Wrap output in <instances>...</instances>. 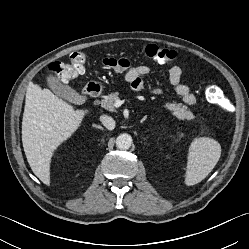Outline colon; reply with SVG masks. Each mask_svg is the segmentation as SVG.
Returning a JSON list of instances; mask_svg holds the SVG:
<instances>
[{
    "mask_svg": "<svg viewBox=\"0 0 249 249\" xmlns=\"http://www.w3.org/2000/svg\"><path fill=\"white\" fill-rule=\"evenodd\" d=\"M142 50L146 57L160 64H169L176 58L175 51L162 48L157 45H144ZM86 54L82 51H76L70 54L65 62H54L50 64L49 70L55 77L62 82H67L82 75L85 71ZM103 64L115 69H122L126 63L121 59H105ZM205 96L207 100L224 109V94L222 90L214 85L208 84L205 87Z\"/></svg>",
    "mask_w": 249,
    "mask_h": 249,
    "instance_id": "5ec220e1",
    "label": "colon"
}]
</instances>
